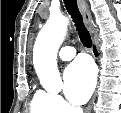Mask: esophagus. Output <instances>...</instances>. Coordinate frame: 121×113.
Segmentation results:
<instances>
[{"instance_id":"34e87169","label":"esophagus","mask_w":121,"mask_h":113,"mask_svg":"<svg viewBox=\"0 0 121 113\" xmlns=\"http://www.w3.org/2000/svg\"><path fill=\"white\" fill-rule=\"evenodd\" d=\"M77 3H78V6H79V9H80V12L83 16L85 24L90 27L91 24H92V16H91V13L89 11V8H88L86 1L77 0ZM95 97H96V94L92 97L91 101L89 102L88 106L86 107L87 113H89L91 111L92 105L95 101Z\"/></svg>"}]
</instances>
